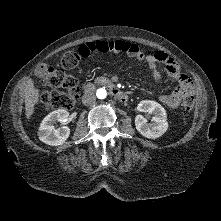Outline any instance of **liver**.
I'll return each instance as SVG.
<instances>
[{
    "mask_svg": "<svg viewBox=\"0 0 221 221\" xmlns=\"http://www.w3.org/2000/svg\"><path fill=\"white\" fill-rule=\"evenodd\" d=\"M25 113L26 117L30 119V117L34 113V107L39 101V89L35 87L32 79H28L25 84Z\"/></svg>",
    "mask_w": 221,
    "mask_h": 221,
    "instance_id": "liver-1",
    "label": "liver"
}]
</instances>
